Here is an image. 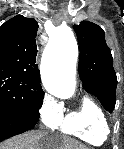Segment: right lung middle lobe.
Listing matches in <instances>:
<instances>
[{
  "mask_svg": "<svg viewBox=\"0 0 124 149\" xmlns=\"http://www.w3.org/2000/svg\"><path fill=\"white\" fill-rule=\"evenodd\" d=\"M43 98L42 87L19 73L0 69V111L39 114Z\"/></svg>",
  "mask_w": 124,
  "mask_h": 149,
  "instance_id": "right-lung-middle-lobe-1",
  "label": "right lung middle lobe"
}]
</instances>
